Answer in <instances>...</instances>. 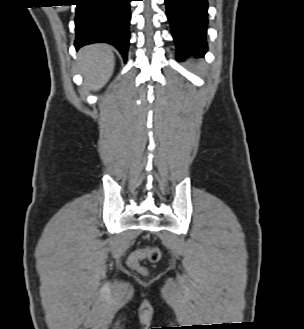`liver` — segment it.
I'll return each instance as SVG.
<instances>
[{
    "label": "liver",
    "instance_id": "obj_1",
    "mask_svg": "<svg viewBox=\"0 0 304 329\" xmlns=\"http://www.w3.org/2000/svg\"><path fill=\"white\" fill-rule=\"evenodd\" d=\"M78 61L84 85L94 91L101 89L114 71L115 58L112 47L107 44L83 47L78 53Z\"/></svg>",
    "mask_w": 304,
    "mask_h": 329
}]
</instances>
